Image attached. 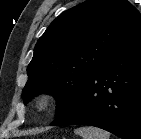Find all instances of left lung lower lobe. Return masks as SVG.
Here are the masks:
<instances>
[{"label":"left lung lower lobe","mask_w":141,"mask_h":139,"mask_svg":"<svg viewBox=\"0 0 141 139\" xmlns=\"http://www.w3.org/2000/svg\"><path fill=\"white\" fill-rule=\"evenodd\" d=\"M92 125L123 139H141V30L86 78L50 125Z\"/></svg>","instance_id":"obj_1"}]
</instances>
